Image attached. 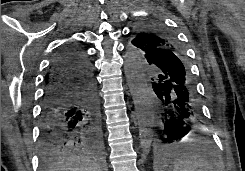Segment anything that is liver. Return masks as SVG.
Listing matches in <instances>:
<instances>
[{"mask_svg": "<svg viewBox=\"0 0 245 171\" xmlns=\"http://www.w3.org/2000/svg\"><path fill=\"white\" fill-rule=\"evenodd\" d=\"M45 171H102V168L83 156L71 155L49 164Z\"/></svg>", "mask_w": 245, "mask_h": 171, "instance_id": "obj_1", "label": "liver"}]
</instances>
